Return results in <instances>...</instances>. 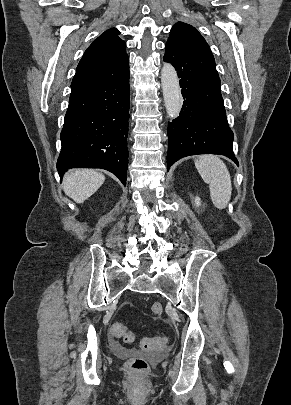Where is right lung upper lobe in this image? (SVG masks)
Wrapping results in <instances>:
<instances>
[{"label": "right lung upper lobe", "instance_id": "obj_1", "mask_svg": "<svg viewBox=\"0 0 291 405\" xmlns=\"http://www.w3.org/2000/svg\"><path fill=\"white\" fill-rule=\"evenodd\" d=\"M111 28L100 35L85 51L71 83L70 98L91 88L121 78L129 72L126 43Z\"/></svg>", "mask_w": 291, "mask_h": 405}]
</instances>
